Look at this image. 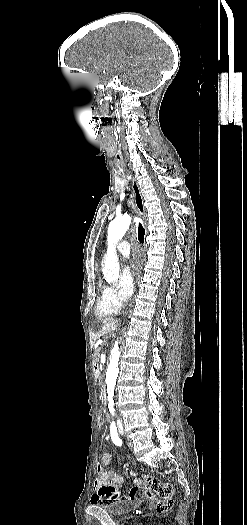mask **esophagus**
<instances>
[{
    "label": "esophagus",
    "instance_id": "34e87169",
    "mask_svg": "<svg viewBox=\"0 0 247 525\" xmlns=\"http://www.w3.org/2000/svg\"><path fill=\"white\" fill-rule=\"evenodd\" d=\"M132 190L134 192V200L136 207L144 220L145 228H147L145 205L141 194V190L139 188L138 183L135 180H132Z\"/></svg>",
    "mask_w": 247,
    "mask_h": 525
}]
</instances>
